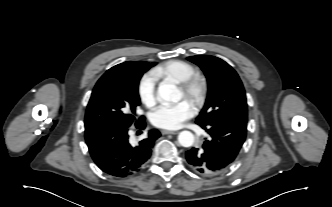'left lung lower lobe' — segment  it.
<instances>
[{"label": "left lung lower lobe", "mask_w": 332, "mask_h": 207, "mask_svg": "<svg viewBox=\"0 0 332 207\" xmlns=\"http://www.w3.org/2000/svg\"><path fill=\"white\" fill-rule=\"evenodd\" d=\"M209 135L200 148L186 152L190 167L204 175L225 171L237 157L247 132V122L226 121L201 126Z\"/></svg>", "instance_id": "1"}]
</instances>
